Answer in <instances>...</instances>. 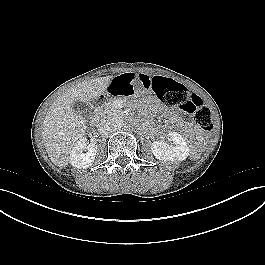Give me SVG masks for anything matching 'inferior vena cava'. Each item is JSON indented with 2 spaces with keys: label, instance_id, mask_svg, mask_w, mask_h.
I'll return each instance as SVG.
<instances>
[{
  "label": "inferior vena cava",
  "instance_id": "1",
  "mask_svg": "<svg viewBox=\"0 0 265 265\" xmlns=\"http://www.w3.org/2000/svg\"><path fill=\"white\" fill-rule=\"evenodd\" d=\"M98 128V132L102 135H108L109 133L112 132V123L107 120V119H103L100 121V123L97 126Z\"/></svg>",
  "mask_w": 265,
  "mask_h": 265
}]
</instances>
